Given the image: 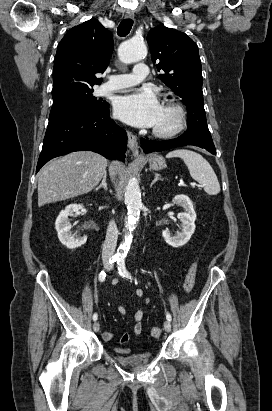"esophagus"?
<instances>
[{
    "label": "esophagus",
    "instance_id": "obj_1",
    "mask_svg": "<svg viewBox=\"0 0 272 411\" xmlns=\"http://www.w3.org/2000/svg\"><path fill=\"white\" fill-rule=\"evenodd\" d=\"M125 17L126 18H130L132 19L134 17V12L131 10H127L125 13ZM127 136H128V147L129 149L132 151L134 156H138L139 155V150H138V143H137V138L136 136L127 131Z\"/></svg>",
    "mask_w": 272,
    "mask_h": 411
}]
</instances>
